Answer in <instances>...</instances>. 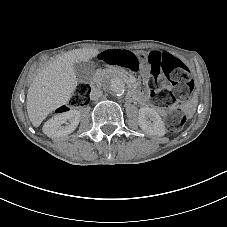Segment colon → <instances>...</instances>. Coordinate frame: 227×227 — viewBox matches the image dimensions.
I'll return each mask as SVG.
<instances>
[{
	"instance_id": "obj_1",
	"label": "colon",
	"mask_w": 227,
	"mask_h": 227,
	"mask_svg": "<svg viewBox=\"0 0 227 227\" xmlns=\"http://www.w3.org/2000/svg\"><path fill=\"white\" fill-rule=\"evenodd\" d=\"M98 59L112 65L121 66L132 72L146 68L150 72L148 87L151 90L153 104L160 108H171L187 100L193 91V81L188 67L168 53L157 55H137L130 51L109 50L98 55ZM163 73L172 83V89L163 87L160 74ZM90 86L80 84L69 99L66 108H78L89 102ZM61 108L59 110H62ZM185 115L180 110L171 111L165 118L166 126L177 131L183 125Z\"/></svg>"
}]
</instances>
